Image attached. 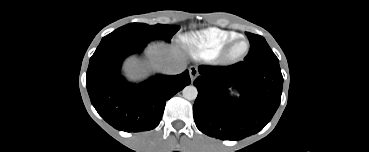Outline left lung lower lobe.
Segmentation results:
<instances>
[{"mask_svg":"<svg viewBox=\"0 0 369 152\" xmlns=\"http://www.w3.org/2000/svg\"><path fill=\"white\" fill-rule=\"evenodd\" d=\"M198 69L194 121L208 136L240 140L253 135L265 127L279 107L283 84L279 62L243 61ZM230 87L241 96L230 97Z\"/></svg>","mask_w":369,"mask_h":152,"instance_id":"0a47b994","label":"left lung lower lobe"}]
</instances>
